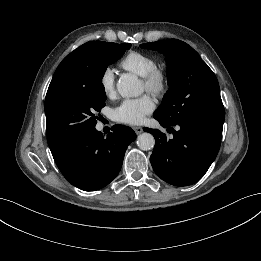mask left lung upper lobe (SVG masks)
<instances>
[{
    "label": "left lung upper lobe",
    "mask_w": 261,
    "mask_h": 261,
    "mask_svg": "<svg viewBox=\"0 0 261 261\" xmlns=\"http://www.w3.org/2000/svg\"><path fill=\"white\" fill-rule=\"evenodd\" d=\"M166 56L169 90L154 118L175 125L204 118H224L217 78L188 44L171 39L141 44Z\"/></svg>",
    "instance_id": "obj_1"
}]
</instances>
